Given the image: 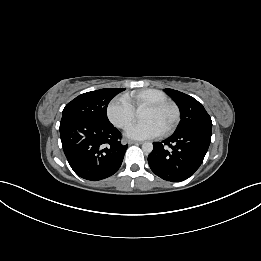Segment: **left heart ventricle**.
Instances as JSON below:
<instances>
[{"mask_svg":"<svg viewBox=\"0 0 261 261\" xmlns=\"http://www.w3.org/2000/svg\"><path fill=\"white\" fill-rule=\"evenodd\" d=\"M141 118L144 121H147V120L155 121L165 130L172 119V112L169 110L155 111V110L146 108L143 111Z\"/></svg>","mask_w":261,"mask_h":261,"instance_id":"obj_1","label":"left heart ventricle"}]
</instances>
